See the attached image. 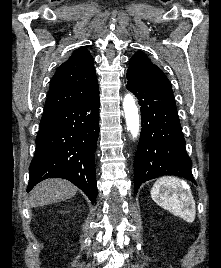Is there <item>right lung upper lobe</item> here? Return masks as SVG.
<instances>
[{
    "mask_svg": "<svg viewBox=\"0 0 221 268\" xmlns=\"http://www.w3.org/2000/svg\"><path fill=\"white\" fill-rule=\"evenodd\" d=\"M94 59L84 47L77 49L52 77L44 110L83 101L99 91Z\"/></svg>",
    "mask_w": 221,
    "mask_h": 268,
    "instance_id": "cb5924a9",
    "label": "right lung upper lobe"
}]
</instances>
